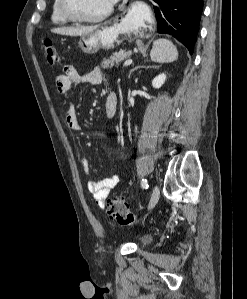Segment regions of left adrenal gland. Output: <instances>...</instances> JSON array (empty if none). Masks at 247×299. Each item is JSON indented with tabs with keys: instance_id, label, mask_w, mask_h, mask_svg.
Listing matches in <instances>:
<instances>
[{
	"instance_id": "1",
	"label": "left adrenal gland",
	"mask_w": 247,
	"mask_h": 299,
	"mask_svg": "<svg viewBox=\"0 0 247 299\" xmlns=\"http://www.w3.org/2000/svg\"><path fill=\"white\" fill-rule=\"evenodd\" d=\"M139 68H147L148 69V68H157V66H136L129 71L128 78H130L131 74Z\"/></svg>"
}]
</instances>
